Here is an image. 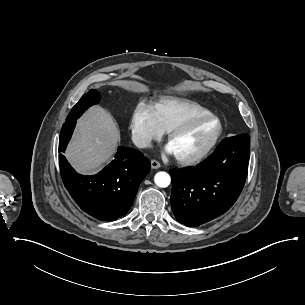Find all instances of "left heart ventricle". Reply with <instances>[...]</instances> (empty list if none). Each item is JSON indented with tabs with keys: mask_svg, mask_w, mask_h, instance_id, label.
<instances>
[{
	"mask_svg": "<svg viewBox=\"0 0 305 305\" xmlns=\"http://www.w3.org/2000/svg\"><path fill=\"white\" fill-rule=\"evenodd\" d=\"M220 128L216 119H207L190 126L171 145L175 154L189 155L206 148L215 138Z\"/></svg>",
	"mask_w": 305,
	"mask_h": 305,
	"instance_id": "left-heart-ventricle-1",
	"label": "left heart ventricle"
}]
</instances>
